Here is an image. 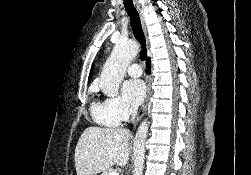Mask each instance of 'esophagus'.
Instances as JSON below:
<instances>
[{"mask_svg": "<svg viewBox=\"0 0 251 175\" xmlns=\"http://www.w3.org/2000/svg\"><path fill=\"white\" fill-rule=\"evenodd\" d=\"M139 10H140V8H139ZM140 21H141V25H142V28L144 30V33H146V26H145V22H144V16H143L141 10H140ZM145 83H146L147 94H146L145 100L143 101V103H142V105H141V107L139 109L136 120H139L140 118L143 117V115L147 111L148 104H149V97H150V94H151V79H150V77H146V82Z\"/></svg>", "mask_w": 251, "mask_h": 175, "instance_id": "obj_1", "label": "esophagus"}]
</instances>
